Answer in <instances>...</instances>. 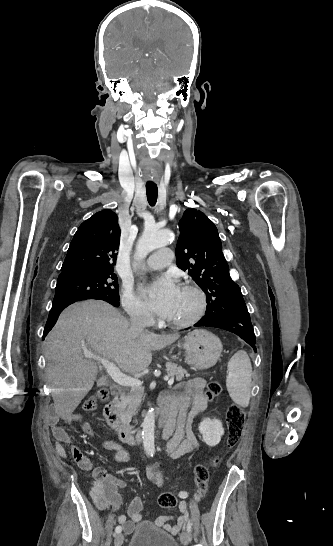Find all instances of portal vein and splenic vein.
I'll list each match as a JSON object with an SVG mask.
<instances>
[{"instance_id":"portal-vein-and-splenic-vein-1","label":"portal vein and splenic vein","mask_w":333,"mask_h":546,"mask_svg":"<svg viewBox=\"0 0 333 546\" xmlns=\"http://www.w3.org/2000/svg\"><path fill=\"white\" fill-rule=\"evenodd\" d=\"M85 357L91 358L94 360H97L100 362L103 367L107 370L108 374L111 376V378L119 385L121 386H129V387H141L142 381L138 378L127 376L123 374L118 367L115 366L114 363L110 362L108 359L100 357L96 354H93L91 352L85 353ZM166 380L168 381V385L171 386L174 383V378H168L166 377Z\"/></svg>"}]
</instances>
